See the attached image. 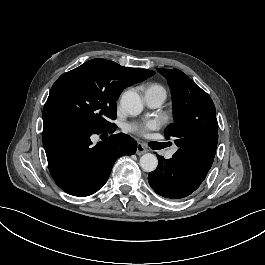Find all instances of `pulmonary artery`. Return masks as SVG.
<instances>
[{
    "label": "pulmonary artery",
    "mask_w": 265,
    "mask_h": 265,
    "mask_svg": "<svg viewBox=\"0 0 265 265\" xmlns=\"http://www.w3.org/2000/svg\"><path fill=\"white\" fill-rule=\"evenodd\" d=\"M162 94L161 92L156 88H151L148 90L147 94H145V101L146 104L150 107H157L162 102Z\"/></svg>",
    "instance_id": "pulmonary-artery-1"
}]
</instances>
